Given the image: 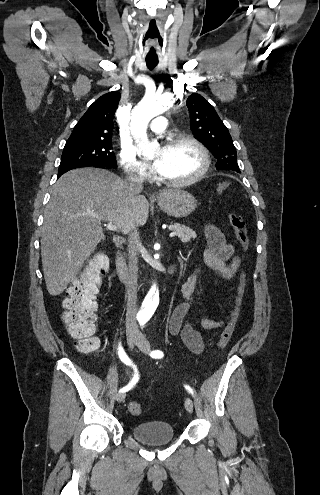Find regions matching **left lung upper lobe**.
I'll use <instances>...</instances> for the list:
<instances>
[{"label": "left lung upper lobe", "instance_id": "left-lung-upper-lobe-1", "mask_svg": "<svg viewBox=\"0 0 320 495\" xmlns=\"http://www.w3.org/2000/svg\"><path fill=\"white\" fill-rule=\"evenodd\" d=\"M186 104L191 117L192 133L217 158V170L240 173L232 138L213 106L196 93L188 97Z\"/></svg>", "mask_w": 320, "mask_h": 495}]
</instances>
